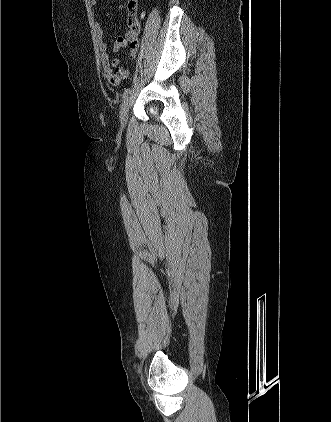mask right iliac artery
<instances>
[{
  "mask_svg": "<svg viewBox=\"0 0 331 422\" xmlns=\"http://www.w3.org/2000/svg\"><path fill=\"white\" fill-rule=\"evenodd\" d=\"M128 94H129V88L124 90L123 95H122V100H125Z\"/></svg>",
  "mask_w": 331,
  "mask_h": 422,
  "instance_id": "obj_1",
  "label": "right iliac artery"
}]
</instances>
